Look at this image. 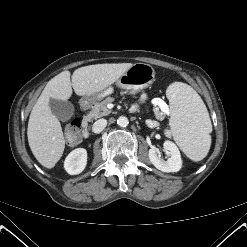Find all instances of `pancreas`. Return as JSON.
Listing matches in <instances>:
<instances>
[{
	"label": "pancreas",
	"instance_id": "obj_1",
	"mask_svg": "<svg viewBox=\"0 0 247 247\" xmlns=\"http://www.w3.org/2000/svg\"><path fill=\"white\" fill-rule=\"evenodd\" d=\"M125 93L127 92H122V94H125ZM144 99H146L145 95L142 96L141 100H144ZM113 101H114L113 97H107L102 102L95 103V105L92 107V110L86 116L87 119L90 121L91 119H97L103 116H108L112 111L108 109L107 104Z\"/></svg>",
	"mask_w": 247,
	"mask_h": 247
}]
</instances>
